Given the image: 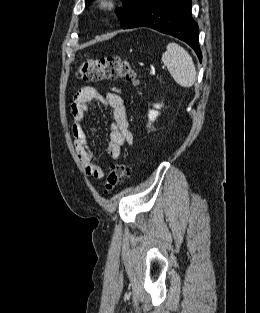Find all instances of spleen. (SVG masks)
<instances>
[{
	"mask_svg": "<svg viewBox=\"0 0 260 313\" xmlns=\"http://www.w3.org/2000/svg\"><path fill=\"white\" fill-rule=\"evenodd\" d=\"M162 61L169 73L182 87H192L196 81V68L189 53L177 43L171 42L162 54Z\"/></svg>",
	"mask_w": 260,
	"mask_h": 313,
	"instance_id": "spleen-1",
	"label": "spleen"
}]
</instances>
